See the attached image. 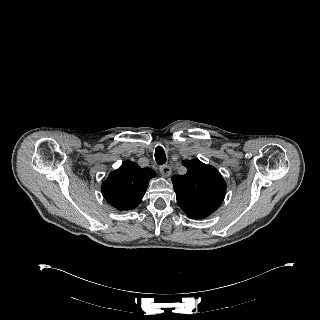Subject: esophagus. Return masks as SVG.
Returning a JSON list of instances; mask_svg holds the SVG:
<instances>
[{
	"mask_svg": "<svg viewBox=\"0 0 320 320\" xmlns=\"http://www.w3.org/2000/svg\"><path fill=\"white\" fill-rule=\"evenodd\" d=\"M159 171L160 173L165 176V177H168L171 175V167L169 165H162L159 167Z\"/></svg>",
	"mask_w": 320,
	"mask_h": 320,
	"instance_id": "1",
	"label": "esophagus"
}]
</instances>
